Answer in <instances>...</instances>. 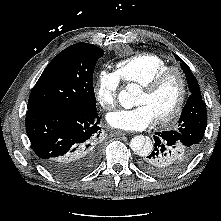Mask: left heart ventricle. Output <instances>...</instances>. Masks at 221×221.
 <instances>
[{
  "label": "left heart ventricle",
  "mask_w": 221,
  "mask_h": 221,
  "mask_svg": "<svg viewBox=\"0 0 221 221\" xmlns=\"http://www.w3.org/2000/svg\"><path fill=\"white\" fill-rule=\"evenodd\" d=\"M179 93V79L176 74H171L154 93H147L142 89L136 97L135 105L148 106L155 118H158L172 110L178 100Z\"/></svg>",
  "instance_id": "obj_1"
}]
</instances>
